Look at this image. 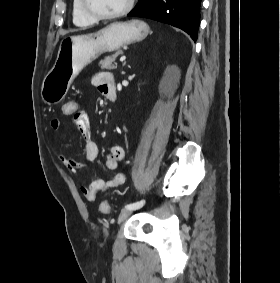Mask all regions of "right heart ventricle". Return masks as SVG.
Instances as JSON below:
<instances>
[{
  "label": "right heart ventricle",
  "instance_id": "e07e8e85",
  "mask_svg": "<svg viewBox=\"0 0 280 283\" xmlns=\"http://www.w3.org/2000/svg\"><path fill=\"white\" fill-rule=\"evenodd\" d=\"M72 20L76 26L85 27L90 26L96 22L84 12L81 0H73L72 3Z\"/></svg>",
  "mask_w": 280,
  "mask_h": 283
}]
</instances>
